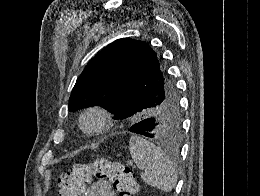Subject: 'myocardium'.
<instances>
[{"mask_svg": "<svg viewBox=\"0 0 260 196\" xmlns=\"http://www.w3.org/2000/svg\"><path fill=\"white\" fill-rule=\"evenodd\" d=\"M96 115L99 119L98 125L93 129H88L84 126L85 119L90 115ZM82 125L80 127L82 133L89 137L99 136L105 133L112 125L113 116L112 113L105 107L93 105L85 108L82 112Z\"/></svg>", "mask_w": 260, "mask_h": 196, "instance_id": "myocardium-1", "label": "myocardium"}]
</instances>
